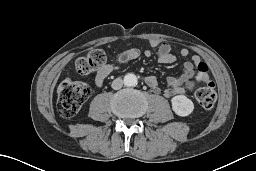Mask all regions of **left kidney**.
I'll return each instance as SVG.
<instances>
[{"label":"left kidney","mask_w":256,"mask_h":171,"mask_svg":"<svg viewBox=\"0 0 256 171\" xmlns=\"http://www.w3.org/2000/svg\"><path fill=\"white\" fill-rule=\"evenodd\" d=\"M173 111L182 117L188 116L194 110L193 102L184 95H177L171 99Z\"/></svg>","instance_id":"left-kidney-1"}]
</instances>
